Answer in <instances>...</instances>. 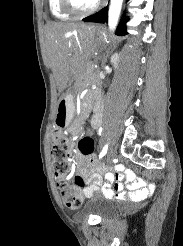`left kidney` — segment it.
<instances>
[{
	"instance_id": "left-kidney-1",
	"label": "left kidney",
	"mask_w": 183,
	"mask_h": 246,
	"mask_svg": "<svg viewBox=\"0 0 183 246\" xmlns=\"http://www.w3.org/2000/svg\"><path fill=\"white\" fill-rule=\"evenodd\" d=\"M120 55L115 53L111 56V63L114 65V68H117L119 62Z\"/></svg>"
}]
</instances>
